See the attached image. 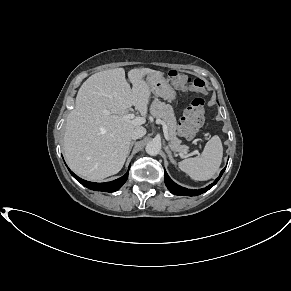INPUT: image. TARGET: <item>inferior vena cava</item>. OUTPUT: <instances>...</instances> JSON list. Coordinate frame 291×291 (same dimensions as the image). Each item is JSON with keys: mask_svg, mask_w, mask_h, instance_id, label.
<instances>
[{"mask_svg": "<svg viewBox=\"0 0 291 291\" xmlns=\"http://www.w3.org/2000/svg\"><path fill=\"white\" fill-rule=\"evenodd\" d=\"M146 134V129L144 127H137L131 133V138L133 140L139 139Z\"/></svg>", "mask_w": 291, "mask_h": 291, "instance_id": "inferior-vena-cava-1", "label": "inferior vena cava"}]
</instances>
